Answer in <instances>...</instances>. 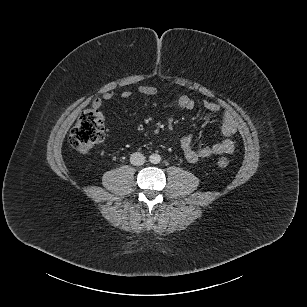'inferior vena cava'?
<instances>
[{
	"instance_id": "602c4592",
	"label": "inferior vena cava",
	"mask_w": 307,
	"mask_h": 307,
	"mask_svg": "<svg viewBox=\"0 0 307 307\" xmlns=\"http://www.w3.org/2000/svg\"><path fill=\"white\" fill-rule=\"evenodd\" d=\"M130 162L134 166H141L145 163V157L140 152H135L130 156Z\"/></svg>"
}]
</instances>
